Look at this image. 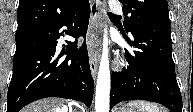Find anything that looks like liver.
Listing matches in <instances>:
<instances>
[{
  "label": "liver",
  "mask_w": 193,
  "mask_h": 112,
  "mask_svg": "<svg viewBox=\"0 0 193 112\" xmlns=\"http://www.w3.org/2000/svg\"><path fill=\"white\" fill-rule=\"evenodd\" d=\"M69 112H72L73 109L70 105ZM67 105L64 104L61 100L54 98H47L39 100L28 107L21 110V112H68Z\"/></svg>",
  "instance_id": "liver-1"
}]
</instances>
